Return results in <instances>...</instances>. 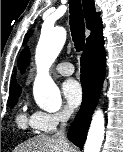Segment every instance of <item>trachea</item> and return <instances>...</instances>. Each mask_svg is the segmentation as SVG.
Returning a JSON list of instances; mask_svg holds the SVG:
<instances>
[{
	"label": "trachea",
	"instance_id": "obj_1",
	"mask_svg": "<svg viewBox=\"0 0 123 152\" xmlns=\"http://www.w3.org/2000/svg\"><path fill=\"white\" fill-rule=\"evenodd\" d=\"M70 30L76 50L82 51L85 45V24L80 0H69Z\"/></svg>",
	"mask_w": 123,
	"mask_h": 152
}]
</instances>
